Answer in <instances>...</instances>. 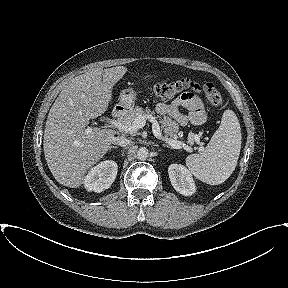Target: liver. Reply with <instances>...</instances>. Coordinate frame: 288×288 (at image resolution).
Masks as SVG:
<instances>
[{"instance_id": "obj_1", "label": "liver", "mask_w": 288, "mask_h": 288, "mask_svg": "<svg viewBox=\"0 0 288 288\" xmlns=\"http://www.w3.org/2000/svg\"><path fill=\"white\" fill-rule=\"evenodd\" d=\"M126 72V67L116 66L78 75L52 105L43 148L47 165L60 184L71 188L81 186L87 171L110 149L116 132L91 128L88 124L107 110L113 86Z\"/></svg>"}]
</instances>
